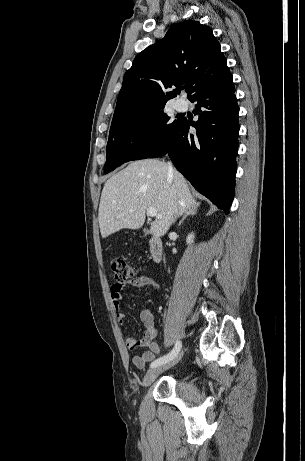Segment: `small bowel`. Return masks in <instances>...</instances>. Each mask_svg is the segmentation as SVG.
<instances>
[{
    "mask_svg": "<svg viewBox=\"0 0 305 461\" xmlns=\"http://www.w3.org/2000/svg\"><path fill=\"white\" fill-rule=\"evenodd\" d=\"M125 285L136 289H148L151 293H155L159 290V282L155 278L149 276H140L126 283L114 282L110 287V295L121 325L125 324V315L121 312L123 301L122 289ZM140 319L145 327L143 338L138 340L133 336H126V346L131 352L142 347L148 348V350L144 351L142 354L132 357L133 364L138 369H144L149 362L153 361L156 356L160 354V348L157 343L158 327L154 314L149 309L145 308L140 312Z\"/></svg>",
    "mask_w": 305,
    "mask_h": 461,
    "instance_id": "small-bowel-1",
    "label": "small bowel"
}]
</instances>
